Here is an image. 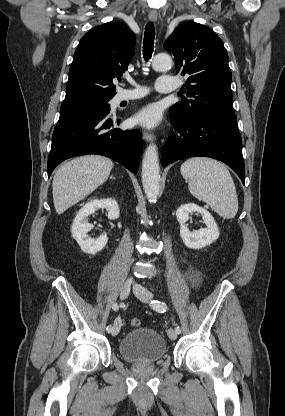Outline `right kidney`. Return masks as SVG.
<instances>
[{
    "label": "right kidney",
    "mask_w": 285,
    "mask_h": 416,
    "mask_svg": "<svg viewBox=\"0 0 285 416\" xmlns=\"http://www.w3.org/2000/svg\"><path fill=\"white\" fill-rule=\"evenodd\" d=\"M98 208H106L109 220H117L120 216L119 206L116 200H111V198H107V200H90L88 204H85L79 210L74 218L71 234L85 254L101 252L108 242L107 234H102L99 238H90L88 236V232L93 230L94 226L93 224H88L87 218L94 214Z\"/></svg>",
    "instance_id": "1"
}]
</instances>
